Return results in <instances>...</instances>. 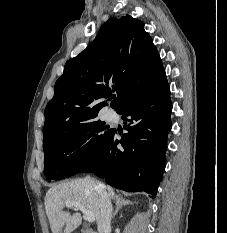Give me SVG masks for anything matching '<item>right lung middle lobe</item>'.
<instances>
[{
  "mask_svg": "<svg viewBox=\"0 0 227 233\" xmlns=\"http://www.w3.org/2000/svg\"><path fill=\"white\" fill-rule=\"evenodd\" d=\"M111 132L105 123L93 120L44 145L47 180H59L79 173L95 159Z\"/></svg>",
  "mask_w": 227,
  "mask_h": 233,
  "instance_id": "right-lung-middle-lobe-1",
  "label": "right lung middle lobe"
}]
</instances>
